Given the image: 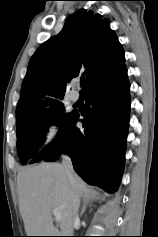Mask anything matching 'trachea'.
<instances>
[{
  "label": "trachea",
  "instance_id": "trachea-1",
  "mask_svg": "<svg viewBox=\"0 0 158 237\" xmlns=\"http://www.w3.org/2000/svg\"><path fill=\"white\" fill-rule=\"evenodd\" d=\"M84 83H85V80H80L81 85H84Z\"/></svg>",
  "mask_w": 158,
  "mask_h": 237
}]
</instances>
